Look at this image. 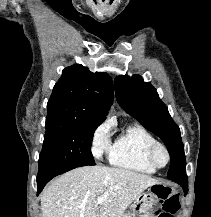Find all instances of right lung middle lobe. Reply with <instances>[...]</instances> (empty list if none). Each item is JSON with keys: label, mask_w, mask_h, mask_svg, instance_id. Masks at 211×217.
<instances>
[{"label": "right lung middle lobe", "mask_w": 211, "mask_h": 217, "mask_svg": "<svg viewBox=\"0 0 211 217\" xmlns=\"http://www.w3.org/2000/svg\"><path fill=\"white\" fill-rule=\"evenodd\" d=\"M99 124L74 119L46 120L38 172L58 167L95 165L91 142Z\"/></svg>", "instance_id": "right-lung-middle-lobe-1"}]
</instances>
